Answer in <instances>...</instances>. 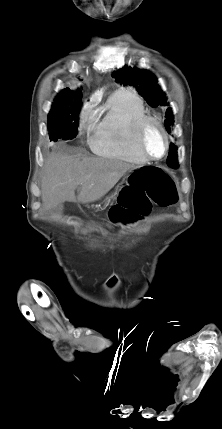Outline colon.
Instances as JSON below:
<instances>
[{
  "label": "colon",
  "mask_w": 222,
  "mask_h": 429,
  "mask_svg": "<svg viewBox=\"0 0 222 429\" xmlns=\"http://www.w3.org/2000/svg\"><path fill=\"white\" fill-rule=\"evenodd\" d=\"M178 194L171 176L162 168L143 165L131 175L112 206V222H132L150 213L152 206L169 207L177 202Z\"/></svg>",
  "instance_id": "5ec220e1"
}]
</instances>
